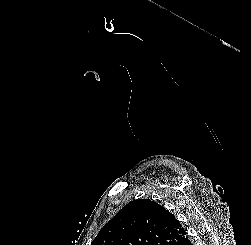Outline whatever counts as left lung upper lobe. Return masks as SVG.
Masks as SVG:
<instances>
[{
	"label": "left lung upper lobe",
	"mask_w": 251,
	"mask_h": 245,
	"mask_svg": "<svg viewBox=\"0 0 251 245\" xmlns=\"http://www.w3.org/2000/svg\"><path fill=\"white\" fill-rule=\"evenodd\" d=\"M185 234L177 218L162 205L140 199L124 206L91 245H175Z\"/></svg>",
	"instance_id": "5c2ea615"
}]
</instances>
